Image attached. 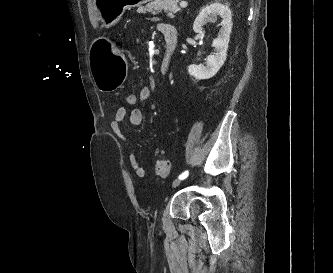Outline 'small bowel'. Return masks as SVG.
Instances as JSON below:
<instances>
[{
	"label": "small bowel",
	"instance_id": "obj_1",
	"mask_svg": "<svg viewBox=\"0 0 333 273\" xmlns=\"http://www.w3.org/2000/svg\"><path fill=\"white\" fill-rule=\"evenodd\" d=\"M169 24H159L158 30L163 32L164 27ZM171 26V25H170ZM134 94V93H129ZM151 91L148 87H142L138 93V101L147 102L150 99ZM128 119L132 125H139L143 120L142 112L139 109H133L131 112L128 109L118 108L115 117L112 121L111 127L115 135L126 145L129 144L127 136L122 130V123L125 119ZM128 161L132 167L136 177L143 178L145 176V169L139 163L137 156L131 152L128 155Z\"/></svg>",
	"mask_w": 333,
	"mask_h": 273
}]
</instances>
